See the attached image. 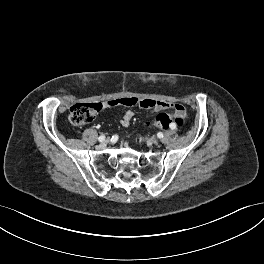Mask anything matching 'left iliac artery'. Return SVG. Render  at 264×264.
I'll return each instance as SVG.
<instances>
[{
    "label": "left iliac artery",
    "mask_w": 264,
    "mask_h": 264,
    "mask_svg": "<svg viewBox=\"0 0 264 264\" xmlns=\"http://www.w3.org/2000/svg\"><path fill=\"white\" fill-rule=\"evenodd\" d=\"M170 127H171V129H175V128H176V125H175L174 123H172V124L170 125Z\"/></svg>",
    "instance_id": "44dca946"
}]
</instances>
